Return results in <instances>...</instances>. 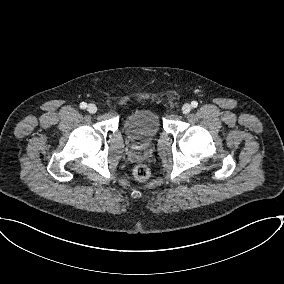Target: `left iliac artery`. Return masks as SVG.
<instances>
[{"mask_svg":"<svg viewBox=\"0 0 284 284\" xmlns=\"http://www.w3.org/2000/svg\"><path fill=\"white\" fill-rule=\"evenodd\" d=\"M191 105L193 108H196L198 106V102L197 101H192Z\"/></svg>","mask_w":284,"mask_h":284,"instance_id":"obj_1","label":"left iliac artery"}]
</instances>
